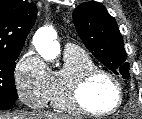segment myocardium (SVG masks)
I'll return each instance as SVG.
<instances>
[{
    "instance_id": "f54148a6",
    "label": "myocardium",
    "mask_w": 142,
    "mask_h": 119,
    "mask_svg": "<svg viewBox=\"0 0 142 119\" xmlns=\"http://www.w3.org/2000/svg\"><path fill=\"white\" fill-rule=\"evenodd\" d=\"M98 76H103L110 80L117 90V102L111 109L107 111L92 110L85 104L83 99V93L86 87ZM63 98L67 106L73 111L89 116L103 117L113 115L119 110L123 104L124 95L121 83L112 73L105 69L94 66L92 68L81 70L77 74L66 78L63 86Z\"/></svg>"
}]
</instances>
